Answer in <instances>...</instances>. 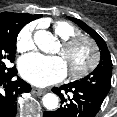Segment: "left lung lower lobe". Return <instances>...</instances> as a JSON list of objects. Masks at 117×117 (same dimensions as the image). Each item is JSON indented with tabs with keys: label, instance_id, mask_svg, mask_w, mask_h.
I'll return each instance as SVG.
<instances>
[{
	"label": "left lung lower lobe",
	"instance_id": "obj_1",
	"mask_svg": "<svg viewBox=\"0 0 117 117\" xmlns=\"http://www.w3.org/2000/svg\"><path fill=\"white\" fill-rule=\"evenodd\" d=\"M61 90L73 93V97L65 99ZM61 90L57 87L52 89L60 96L62 105L56 111H45L44 117H95L105 99L92 89L72 83L61 86Z\"/></svg>",
	"mask_w": 117,
	"mask_h": 117
}]
</instances>
